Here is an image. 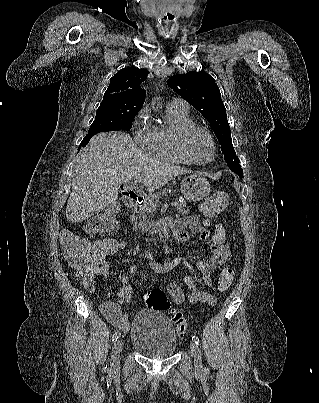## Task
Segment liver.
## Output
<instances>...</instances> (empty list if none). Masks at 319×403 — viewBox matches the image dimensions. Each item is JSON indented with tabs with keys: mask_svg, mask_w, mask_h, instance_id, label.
<instances>
[{
	"mask_svg": "<svg viewBox=\"0 0 319 403\" xmlns=\"http://www.w3.org/2000/svg\"><path fill=\"white\" fill-rule=\"evenodd\" d=\"M190 170L152 158L127 133L102 132L80 150L72 174V192L66 206L71 223L83 222L116 202L118 188L133 175L154 191Z\"/></svg>",
	"mask_w": 319,
	"mask_h": 403,
	"instance_id": "6515ba94",
	"label": "liver"
}]
</instances>
